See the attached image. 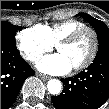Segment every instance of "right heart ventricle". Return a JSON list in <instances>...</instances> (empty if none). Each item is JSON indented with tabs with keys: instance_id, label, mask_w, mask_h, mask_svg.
Wrapping results in <instances>:
<instances>
[{
	"instance_id": "e07e8e85",
	"label": "right heart ventricle",
	"mask_w": 109,
	"mask_h": 109,
	"mask_svg": "<svg viewBox=\"0 0 109 109\" xmlns=\"http://www.w3.org/2000/svg\"><path fill=\"white\" fill-rule=\"evenodd\" d=\"M86 26L85 23L78 21V20H66L50 25H43L41 26L49 38V40L56 44L61 39L67 37L74 31Z\"/></svg>"
}]
</instances>
